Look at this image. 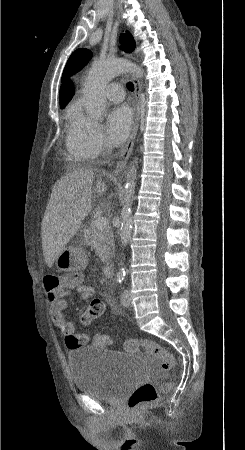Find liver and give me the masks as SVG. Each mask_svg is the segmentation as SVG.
<instances>
[{"mask_svg":"<svg viewBox=\"0 0 245 450\" xmlns=\"http://www.w3.org/2000/svg\"><path fill=\"white\" fill-rule=\"evenodd\" d=\"M94 175L92 169H73L52 188L41 226L43 255L50 268L92 210ZM106 190L105 183L98 179L94 188L97 196Z\"/></svg>","mask_w":245,"mask_h":450,"instance_id":"liver-1","label":"liver"}]
</instances>
